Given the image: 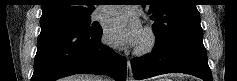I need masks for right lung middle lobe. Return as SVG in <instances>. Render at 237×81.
<instances>
[{"label": "right lung middle lobe", "mask_w": 237, "mask_h": 81, "mask_svg": "<svg viewBox=\"0 0 237 81\" xmlns=\"http://www.w3.org/2000/svg\"><path fill=\"white\" fill-rule=\"evenodd\" d=\"M42 27L59 26L70 27L84 32H94L98 26H90V15L76 17H59L40 20Z\"/></svg>", "instance_id": "right-lung-middle-lobe-1"}]
</instances>
